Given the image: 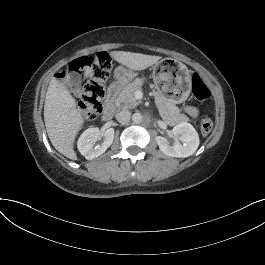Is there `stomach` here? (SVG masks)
Segmentation results:
<instances>
[{
	"label": "stomach",
	"mask_w": 265,
	"mask_h": 265,
	"mask_svg": "<svg viewBox=\"0 0 265 265\" xmlns=\"http://www.w3.org/2000/svg\"><path fill=\"white\" fill-rule=\"evenodd\" d=\"M115 77L120 83L132 78V73L119 66ZM154 86L158 92L169 98L175 105L184 102L191 91V74L188 68L173 58H165L153 67Z\"/></svg>",
	"instance_id": "obj_1"
}]
</instances>
